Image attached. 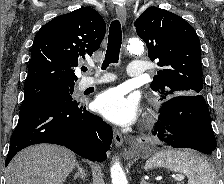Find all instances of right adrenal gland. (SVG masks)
<instances>
[{
	"mask_svg": "<svg viewBox=\"0 0 224 184\" xmlns=\"http://www.w3.org/2000/svg\"><path fill=\"white\" fill-rule=\"evenodd\" d=\"M76 167H77L78 171L75 173L74 179L76 180L77 178H80L82 180H85L86 173H85V170L83 169V167H81L79 162H76Z\"/></svg>",
	"mask_w": 224,
	"mask_h": 184,
	"instance_id": "2a0ac1e0",
	"label": "right adrenal gland"
}]
</instances>
